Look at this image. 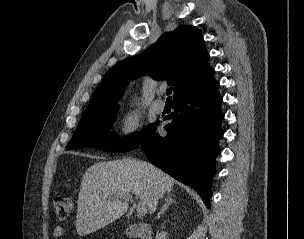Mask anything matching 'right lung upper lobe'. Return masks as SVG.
Segmentation results:
<instances>
[{
	"mask_svg": "<svg viewBox=\"0 0 304 239\" xmlns=\"http://www.w3.org/2000/svg\"><path fill=\"white\" fill-rule=\"evenodd\" d=\"M200 33L192 25H181L143 53L119 62L102 81L82 117L117 106L128 83L143 72L156 80L167 79L174 95L206 76L213 69Z\"/></svg>",
	"mask_w": 304,
	"mask_h": 239,
	"instance_id": "cb5924a9",
	"label": "right lung upper lobe"
}]
</instances>
